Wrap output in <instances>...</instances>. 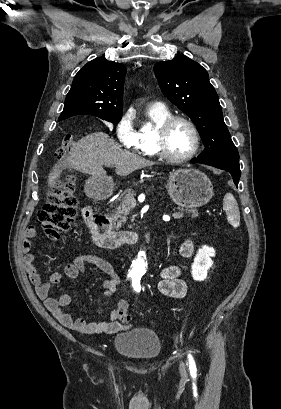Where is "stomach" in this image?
I'll return each instance as SVG.
<instances>
[{
  "label": "stomach",
  "mask_w": 281,
  "mask_h": 409,
  "mask_svg": "<svg viewBox=\"0 0 281 409\" xmlns=\"http://www.w3.org/2000/svg\"><path fill=\"white\" fill-rule=\"evenodd\" d=\"M166 188L168 194L176 205L186 207V209H195L203 207L213 196V184L206 176L205 172L197 168H179L170 172ZM84 190L87 196L95 200L108 198L114 190L112 178L100 180V178H88Z\"/></svg>",
  "instance_id": "1"
}]
</instances>
